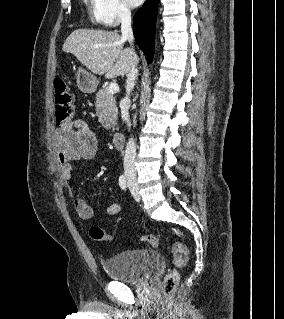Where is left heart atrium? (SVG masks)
<instances>
[{
	"mask_svg": "<svg viewBox=\"0 0 284 319\" xmlns=\"http://www.w3.org/2000/svg\"><path fill=\"white\" fill-rule=\"evenodd\" d=\"M143 1L144 0H124L125 4L131 8H134V7L141 5L143 3Z\"/></svg>",
	"mask_w": 284,
	"mask_h": 319,
	"instance_id": "1",
	"label": "left heart atrium"
}]
</instances>
